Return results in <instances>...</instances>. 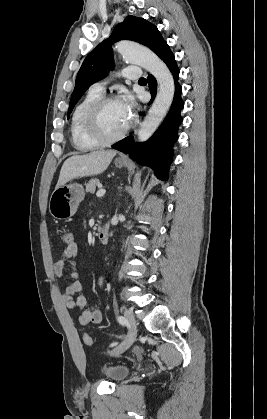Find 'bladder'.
Here are the masks:
<instances>
[{
  "instance_id": "obj_1",
  "label": "bladder",
  "mask_w": 267,
  "mask_h": 419,
  "mask_svg": "<svg viewBox=\"0 0 267 419\" xmlns=\"http://www.w3.org/2000/svg\"><path fill=\"white\" fill-rule=\"evenodd\" d=\"M100 374L110 382H120L127 377L130 369L124 365H111L102 363L99 366Z\"/></svg>"
}]
</instances>
